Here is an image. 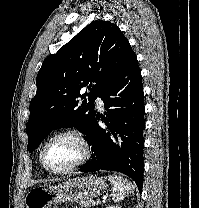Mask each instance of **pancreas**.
<instances>
[{
	"label": "pancreas",
	"mask_w": 199,
	"mask_h": 208,
	"mask_svg": "<svg viewBox=\"0 0 199 208\" xmlns=\"http://www.w3.org/2000/svg\"><path fill=\"white\" fill-rule=\"evenodd\" d=\"M95 205V201L92 199L86 200V201H80L79 202V207L80 208H87ZM77 208V207H75Z\"/></svg>",
	"instance_id": "cf45deb5"
}]
</instances>
